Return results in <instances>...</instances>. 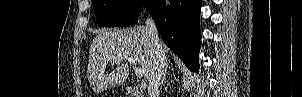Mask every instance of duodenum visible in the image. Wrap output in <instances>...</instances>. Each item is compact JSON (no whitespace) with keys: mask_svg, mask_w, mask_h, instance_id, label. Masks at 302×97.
<instances>
[{"mask_svg":"<svg viewBox=\"0 0 302 97\" xmlns=\"http://www.w3.org/2000/svg\"><path fill=\"white\" fill-rule=\"evenodd\" d=\"M127 89L132 97H144V90L139 86H128Z\"/></svg>","mask_w":302,"mask_h":97,"instance_id":"obj_1","label":"duodenum"}]
</instances>
